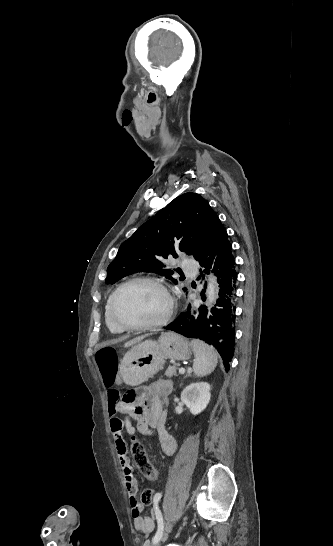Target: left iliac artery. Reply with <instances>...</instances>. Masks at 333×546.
<instances>
[{"label":"left iliac artery","instance_id":"obj_1","mask_svg":"<svg viewBox=\"0 0 333 546\" xmlns=\"http://www.w3.org/2000/svg\"><path fill=\"white\" fill-rule=\"evenodd\" d=\"M157 522H158V529L156 531L155 536L153 537V540H152L153 544L157 543L161 539L164 532V521L162 516L157 517Z\"/></svg>","mask_w":333,"mask_h":546}]
</instances>
